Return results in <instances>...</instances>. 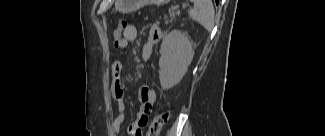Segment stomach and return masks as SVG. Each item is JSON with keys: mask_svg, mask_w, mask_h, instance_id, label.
<instances>
[{"mask_svg": "<svg viewBox=\"0 0 325 136\" xmlns=\"http://www.w3.org/2000/svg\"><path fill=\"white\" fill-rule=\"evenodd\" d=\"M145 2H150L156 5H163L169 2V0H116V8L123 12L129 13L137 10Z\"/></svg>", "mask_w": 325, "mask_h": 136, "instance_id": "0dacf381", "label": "stomach"}]
</instances>
